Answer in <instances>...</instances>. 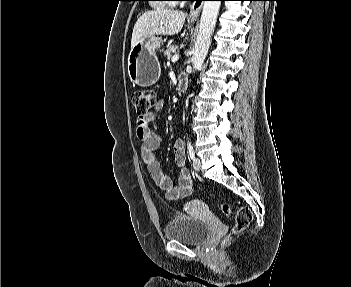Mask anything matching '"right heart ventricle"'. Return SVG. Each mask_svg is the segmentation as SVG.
Here are the masks:
<instances>
[{
  "mask_svg": "<svg viewBox=\"0 0 351 287\" xmlns=\"http://www.w3.org/2000/svg\"><path fill=\"white\" fill-rule=\"evenodd\" d=\"M157 3L153 4L154 8L156 9H165L167 8V4L161 2V1H155Z\"/></svg>",
  "mask_w": 351,
  "mask_h": 287,
  "instance_id": "e07e8e85",
  "label": "right heart ventricle"
}]
</instances>
